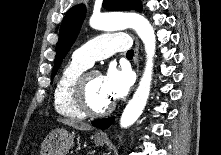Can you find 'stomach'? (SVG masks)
Segmentation results:
<instances>
[{
	"mask_svg": "<svg viewBox=\"0 0 221 155\" xmlns=\"http://www.w3.org/2000/svg\"><path fill=\"white\" fill-rule=\"evenodd\" d=\"M94 142L97 146H104L107 139L95 136ZM73 145L74 134L63 128L55 129L43 141L40 155H66Z\"/></svg>",
	"mask_w": 221,
	"mask_h": 155,
	"instance_id": "obj_1",
	"label": "stomach"
}]
</instances>
